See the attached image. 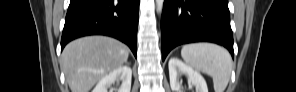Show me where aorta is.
<instances>
[{"instance_id":"aorta-1","label":"aorta","mask_w":296,"mask_h":92,"mask_svg":"<svg viewBox=\"0 0 296 92\" xmlns=\"http://www.w3.org/2000/svg\"><path fill=\"white\" fill-rule=\"evenodd\" d=\"M164 0H156V9L159 14L162 13Z\"/></svg>"}]
</instances>
